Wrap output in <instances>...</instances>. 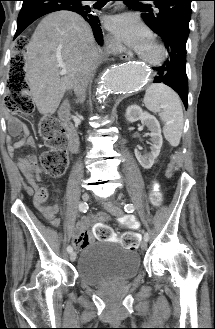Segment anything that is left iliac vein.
<instances>
[{
  "label": "left iliac vein",
  "instance_id": "1",
  "mask_svg": "<svg viewBox=\"0 0 215 329\" xmlns=\"http://www.w3.org/2000/svg\"><path fill=\"white\" fill-rule=\"evenodd\" d=\"M105 209L111 213L114 216L121 217L123 215V210L121 209L120 206L115 205V204H107L105 205ZM147 248V241L143 240L141 242V249H146Z\"/></svg>",
  "mask_w": 215,
  "mask_h": 329
}]
</instances>
